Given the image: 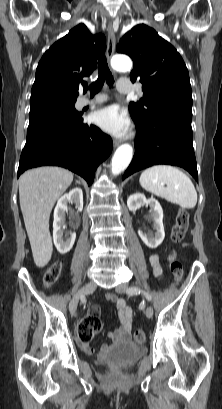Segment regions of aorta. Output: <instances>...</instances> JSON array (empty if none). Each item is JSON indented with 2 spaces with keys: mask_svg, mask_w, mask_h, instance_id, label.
Wrapping results in <instances>:
<instances>
[{
  "mask_svg": "<svg viewBox=\"0 0 222 409\" xmlns=\"http://www.w3.org/2000/svg\"><path fill=\"white\" fill-rule=\"evenodd\" d=\"M113 69L121 72L130 71L132 62L127 56L117 55L112 58ZM133 157V148L129 144L119 146L113 155L111 170L114 175L123 172L130 164Z\"/></svg>",
  "mask_w": 222,
  "mask_h": 409,
  "instance_id": "762f6f07",
  "label": "aorta"
}]
</instances>
